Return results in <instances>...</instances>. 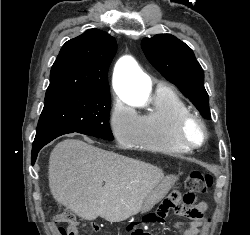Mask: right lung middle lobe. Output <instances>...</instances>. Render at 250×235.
Here are the masks:
<instances>
[{
    "instance_id": "right-lung-middle-lobe-1",
    "label": "right lung middle lobe",
    "mask_w": 250,
    "mask_h": 235,
    "mask_svg": "<svg viewBox=\"0 0 250 235\" xmlns=\"http://www.w3.org/2000/svg\"><path fill=\"white\" fill-rule=\"evenodd\" d=\"M110 93L65 92L45 97L37 132L64 128L105 140L114 137L109 127Z\"/></svg>"
}]
</instances>
